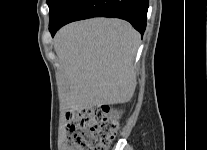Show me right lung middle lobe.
<instances>
[{
	"label": "right lung middle lobe",
	"mask_w": 207,
	"mask_h": 150,
	"mask_svg": "<svg viewBox=\"0 0 207 150\" xmlns=\"http://www.w3.org/2000/svg\"><path fill=\"white\" fill-rule=\"evenodd\" d=\"M67 0H47V4L49 6V18L50 21H52L55 16L58 14V12L61 10V8L65 5Z\"/></svg>",
	"instance_id": "right-lung-middle-lobe-1"
}]
</instances>
